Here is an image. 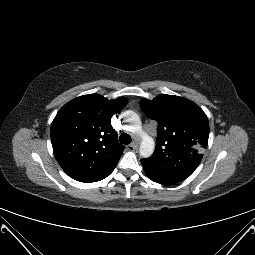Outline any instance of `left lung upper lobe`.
I'll return each instance as SVG.
<instances>
[{
  "label": "left lung upper lobe",
  "instance_id": "1",
  "mask_svg": "<svg viewBox=\"0 0 255 255\" xmlns=\"http://www.w3.org/2000/svg\"><path fill=\"white\" fill-rule=\"evenodd\" d=\"M146 115L158 122L155 152L141 163L146 175L159 184H176L200 164L208 145L209 123L192 101L173 95L140 101Z\"/></svg>",
  "mask_w": 255,
  "mask_h": 255
}]
</instances>
